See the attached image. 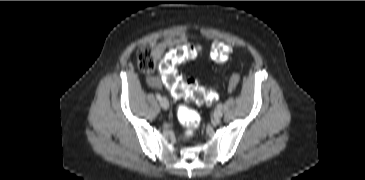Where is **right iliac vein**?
Here are the masks:
<instances>
[{
	"label": "right iliac vein",
	"mask_w": 365,
	"mask_h": 180,
	"mask_svg": "<svg viewBox=\"0 0 365 180\" xmlns=\"http://www.w3.org/2000/svg\"><path fill=\"white\" fill-rule=\"evenodd\" d=\"M160 105L163 109H168L169 108V101L166 98H161L160 100Z\"/></svg>",
	"instance_id": "1"
}]
</instances>
